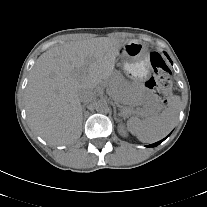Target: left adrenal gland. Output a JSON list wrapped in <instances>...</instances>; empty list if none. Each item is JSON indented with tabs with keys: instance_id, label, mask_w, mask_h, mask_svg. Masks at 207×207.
Returning a JSON list of instances; mask_svg holds the SVG:
<instances>
[{
	"instance_id": "left-adrenal-gland-1",
	"label": "left adrenal gland",
	"mask_w": 207,
	"mask_h": 207,
	"mask_svg": "<svg viewBox=\"0 0 207 207\" xmlns=\"http://www.w3.org/2000/svg\"><path fill=\"white\" fill-rule=\"evenodd\" d=\"M112 106H113V109H114V118L116 119V106H115V104H112Z\"/></svg>"
}]
</instances>
